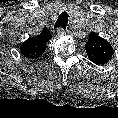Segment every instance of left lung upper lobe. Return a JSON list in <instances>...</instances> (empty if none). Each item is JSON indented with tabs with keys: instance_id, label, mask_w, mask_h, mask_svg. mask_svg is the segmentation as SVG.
Wrapping results in <instances>:
<instances>
[{
	"instance_id": "left-lung-upper-lobe-1",
	"label": "left lung upper lobe",
	"mask_w": 118,
	"mask_h": 118,
	"mask_svg": "<svg viewBox=\"0 0 118 118\" xmlns=\"http://www.w3.org/2000/svg\"><path fill=\"white\" fill-rule=\"evenodd\" d=\"M85 49L88 58L96 65L106 64L114 53L110 43L95 32L90 33L89 39L85 44Z\"/></svg>"
}]
</instances>
